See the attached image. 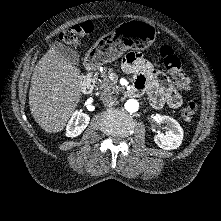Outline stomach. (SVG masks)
<instances>
[{
    "instance_id": "stomach-1",
    "label": "stomach",
    "mask_w": 221,
    "mask_h": 221,
    "mask_svg": "<svg viewBox=\"0 0 221 221\" xmlns=\"http://www.w3.org/2000/svg\"><path fill=\"white\" fill-rule=\"evenodd\" d=\"M154 30L142 22L131 21L115 27L111 34L99 38L88 51L86 58L91 65L100 66L115 61L128 49H144L154 41Z\"/></svg>"
}]
</instances>
